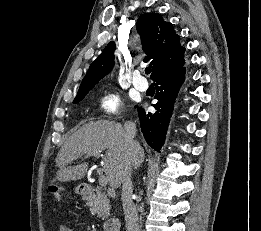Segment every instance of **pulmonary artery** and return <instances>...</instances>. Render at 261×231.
Returning <instances> with one entry per match:
<instances>
[{
  "label": "pulmonary artery",
  "instance_id": "1",
  "mask_svg": "<svg viewBox=\"0 0 261 231\" xmlns=\"http://www.w3.org/2000/svg\"><path fill=\"white\" fill-rule=\"evenodd\" d=\"M133 85L140 91H145L148 88V83L140 74H136L133 78Z\"/></svg>",
  "mask_w": 261,
  "mask_h": 231
}]
</instances>
